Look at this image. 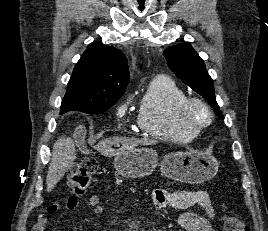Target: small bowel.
<instances>
[{"label":"small bowel","mask_w":268,"mask_h":231,"mask_svg":"<svg viewBox=\"0 0 268 231\" xmlns=\"http://www.w3.org/2000/svg\"><path fill=\"white\" fill-rule=\"evenodd\" d=\"M88 205L96 215L104 212L100 198L96 194H92L88 198ZM192 206H199L203 209L201 213L186 212L182 214L177 221L179 231H215L213 227V219L215 216L211 198L206 191H165L157 189L153 194V209L156 213H161L165 209H187ZM57 210L55 205L48 208V212L52 213ZM42 218V221H40ZM48 217L46 214H40L31 231H45Z\"/></svg>","instance_id":"small-bowel-1"}]
</instances>
